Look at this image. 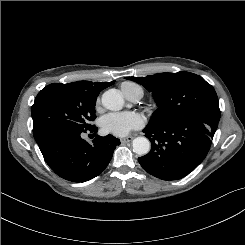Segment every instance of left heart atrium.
<instances>
[{
	"instance_id": "obj_1",
	"label": "left heart atrium",
	"mask_w": 245,
	"mask_h": 245,
	"mask_svg": "<svg viewBox=\"0 0 245 245\" xmlns=\"http://www.w3.org/2000/svg\"><path fill=\"white\" fill-rule=\"evenodd\" d=\"M143 125V118L135 112H116L103 116L100 126L103 132L114 136H126L132 130Z\"/></svg>"
}]
</instances>
